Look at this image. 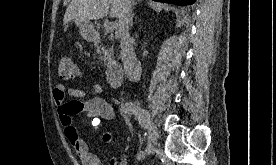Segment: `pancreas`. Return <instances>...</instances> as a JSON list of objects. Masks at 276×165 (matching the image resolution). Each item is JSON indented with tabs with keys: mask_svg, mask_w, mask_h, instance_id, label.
<instances>
[{
	"mask_svg": "<svg viewBox=\"0 0 276 165\" xmlns=\"http://www.w3.org/2000/svg\"><path fill=\"white\" fill-rule=\"evenodd\" d=\"M97 54L99 55L100 61H103L106 65L107 62H109L113 57V48L103 49V50H97Z\"/></svg>",
	"mask_w": 276,
	"mask_h": 165,
	"instance_id": "1",
	"label": "pancreas"
}]
</instances>
